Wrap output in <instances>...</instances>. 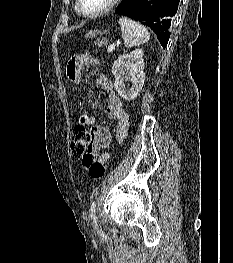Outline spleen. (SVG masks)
<instances>
[{
	"label": "spleen",
	"instance_id": "1",
	"mask_svg": "<svg viewBox=\"0 0 233 263\" xmlns=\"http://www.w3.org/2000/svg\"><path fill=\"white\" fill-rule=\"evenodd\" d=\"M119 25L121 27L124 45L127 48L146 43L150 39V34L147 29L129 18L121 17L119 19Z\"/></svg>",
	"mask_w": 233,
	"mask_h": 263
}]
</instances>
